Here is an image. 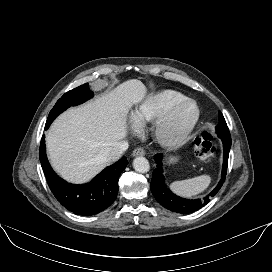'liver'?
Here are the masks:
<instances>
[{
  "instance_id": "6515ba94",
  "label": "liver",
  "mask_w": 272,
  "mask_h": 272,
  "mask_svg": "<svg viewBox=\"0 0 272 272\" xmlns=\"http://www.w3.org/2000/svg\"><path fill=\"white\" fill-rule=\"evenodd\" d=\"M146 95L136 79L79 107L62 113L46 134L47 152L55 171L64 179L84 183L107 164L103 152L127 135V114Z\"/></svg>"
}]
</instances>
